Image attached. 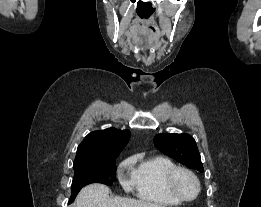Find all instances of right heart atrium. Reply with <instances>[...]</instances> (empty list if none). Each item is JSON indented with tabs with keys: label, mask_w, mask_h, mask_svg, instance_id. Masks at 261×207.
I'll list each match as a JSON object with an SVG mask.
<instances>
[{
	"label": "right heart atrium",
	"mask_w": 261,
	"mask_h": 207,
	"mask_svg": "<svg viewBox=\"0 0 261 207\" xmlns=\"http://www.w3.org/2000/svg\"><path fill=\"white\" fill-rule=\"evenodd\" d=\"M130 165L129 160L124 161L120 168H119V178H120V182L122 184V186L126 189V190H131L134 187V178L133 177H126L124 175V171L126 168H128V166Z\"/></svg>",
	"instance_id": "obj_1"
}]
</instances>
